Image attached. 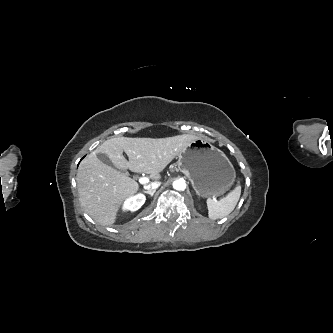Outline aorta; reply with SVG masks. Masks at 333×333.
I'll return each instance as SVG.
<instances>
[{
  "label": "aorta",
  "instance_id": "aorta-1",
  "mask_svg": "<svg viewBox=\"0 0 333 333\" xmlns=\"http://www.w3.org/2000/svg\"><path fill=\"white\" fill-rule=\"evenodd\" d=\"M173 188L175 190L183 191L186 189V183L183 179L176 180L173 183Z\"/></svg>",
  "mask_w": 333,
  "mask_h": 333
}]
</instances>
